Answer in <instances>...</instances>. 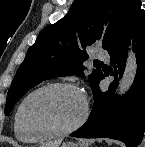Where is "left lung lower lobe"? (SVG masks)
Returning <instances> with one entry per match:
<instances>
[{
    "instance_id": "obj_1",
    "label": "left lung lower lobe",
    "mask_w": 145,
    "mask_h": 147,
    "mask_svg": "<svg viewBox=\"0 0 145 147\" xmlns=\"http://www.w3.org/2000/svg\"><path fill=\"white\" fill-rule=\"evenodd\" d=\"M132 42L137 58V74L130 90L123 96L115 94L123 75L127 47ZM111 57L109 89L103 92L99 82L108 76L102 74L93 87L94 104L87 122L70 134L79 138L108 137L123 141L127 147H137L145 131V11L140 0H131L119 33L107 49Z\"/></svg>"
}]
</instances>
